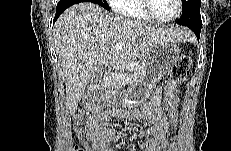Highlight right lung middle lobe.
Instances as JSON below:
<instances>
[{
  "label": "right lung middle lobe",
  "instance_id": "obj_1",
  "mask_svg": "<svg viewBox=\"0 0 231 151\" xmlns=\"http://www.w3.org/2000/svg\"><path fill=\"white\" fill-rule=\"evenodd\" d=\"M90 1L102 6L103 8H105L107 10H109V6H108L106 0H90Z\"/></svg>",
  "mask_w": 231,
  "mask_h": 151
}]
</instances>
